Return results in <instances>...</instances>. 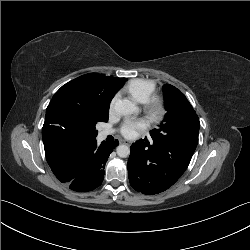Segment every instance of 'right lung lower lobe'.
I'll list each match as a JSON object with an SVG mask.
<instances>
[{"label":"right lung lower lobe","mask_w":250,"mask_h":250,"mask_svg":"<svg viewBox=\"0 0 250 250\" xmlns=\"http://www.w3.org/2000/svg\"><path fill=\"white\" fill-rule=\"evenodd\" d=\"M118 144V140H115L97 145L95 138L76 141L49 165L55 176L68 184L70 189L88 192L101 185L104 164Z\"/></svg>","instance_id":"obj_1"}]
</instances>
